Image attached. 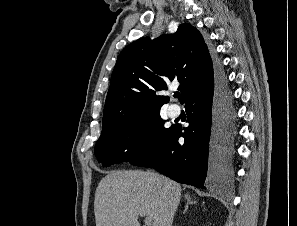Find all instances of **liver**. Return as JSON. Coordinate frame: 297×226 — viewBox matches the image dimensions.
<instances>
[{"instance_id": "liver-1", "label": "liver", "mask_w": 297, "mask_h": 226, "mask_svg": "<svg viewBox=\"0 0 297 226\" xmlns=\"http://www.w3.org/2000/svg\"><path fill=\"white\" fill-rule=\"evenodd\" d=\"M181 186L152 171H111L98 184L94 200L96 226H172Z\"/></svg>"}]
</instances>
